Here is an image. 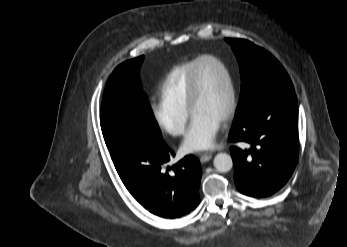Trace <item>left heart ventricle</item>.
Instances as JSON below:
<instances>
[{"mask_svg": "<svg viewBox=\"0 0 347 247\" xmlns=\"http://www.w3.org/2000/svg\"><path fill=\"white\" fill-rule=\"evenodd\" d=\"M199 96L194 114H204L222 120L229 102L225 73L216 63L204 61L198 68Z\"/></svg>", "mask_w": 347, "mask_h": 247, "instance_id": "1", "label": "left heart ventricle"}]
</instances>
